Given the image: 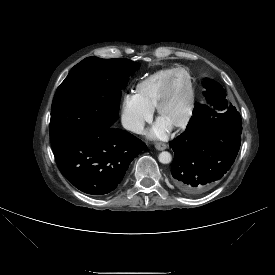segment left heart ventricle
Returning a JSON list of instances; mask_svg holds the SVG:
<instances>
[{"label": "left heart ventricle", "mask_w": 275, "mask_h": 275, "mask_svg": "<svg viewBox=\"0 0 275 275\" xmlns=\"http://www.w3.org/2000/svg\"><path fill=\"white\" fill-rule=\"evenodd\" d=\"M188 98V81L182 71L176 73L171 95L164 106L161 120L170 125L184 114Z\"/></svg>", "instance_id": "b2bd125f"}]
</instances>
